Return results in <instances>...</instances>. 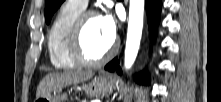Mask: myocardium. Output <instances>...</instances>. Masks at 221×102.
Masks as SVG:
<instances>
[{
  "instance_id": "f54148a6",
  "label": "myocardium",
  "mask_w": 221,
  "mask_h": 102,
  "mask_svg": "<svg viewBox=\"0 0 221 102\" xmlns=\"http://www.w3.org/2000/svg\"><path fill=\"white\" fill-rule=\"evenodd\" d=\"M92 17H98V14L93 11L83 12L75 21L69 36V51L72 58L82 66L97 67L104 64L110 59L116 49V45L112 42L109 49L99 58H89L83 49L82 37L87 21Z\"/></svg>"
}]
</instances>
